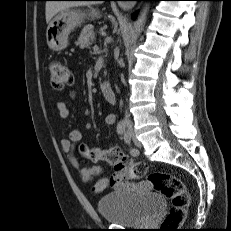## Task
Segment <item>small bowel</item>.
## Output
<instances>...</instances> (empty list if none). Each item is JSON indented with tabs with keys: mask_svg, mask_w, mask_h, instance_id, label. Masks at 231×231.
<instances>
[{
	"mask_svg": "<svg viewBox=\"0 0 231 231\" xmlns=\"http://www.w3.org/2000/svg\"><path fill=\"white\" fill-rule=\"evenodd\" d=\"M58 116L61 119H65L69 116V109L67 105L59 101L56 104ZM116 117L114 114H108L104 118V122L107 126H113L115 124ZM82 139V133L79 129H74L69 133L68 138L61 140L60 145L62 151L66 154L71 164L76 168L77 173L83 182H90L95 177L102 174L103 169L99 165L92 167H86L79 165L77 158L74 154V147ZM113 186L118 190L129 191L135 193H149L153 190L151 183L147 181H132L123 178L121 174H113L111 177H104L100 179L92 188L93 193L98 194L105 190L107 187Z\"/></svg>",
	"mask_w": 231,
	"mask_h": 231,
	"instance_id": "obj_1",
	"label": "small bowel"
}]
</instances>
